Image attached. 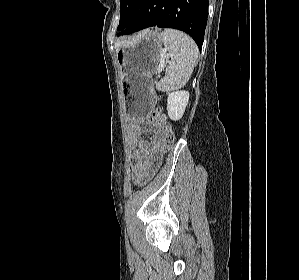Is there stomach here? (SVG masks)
<instances>
[{"instance_id": "obj_1", "label": "stomach", "mask_w": 299, "mask_h": 280, "mask_svg": "<svg viewBox=\"0 0 299 280\" xmlns=\"http://www.w3.org/2000/svg\"><path fill=\"white\" fill-rule=\"evenodd\" d=\"M161 51V34L145 30L117 52L122 70V94L129 116L143 118L153 108L155 93L151 77L158 69Z\"/></svg>"}]
</instances>
